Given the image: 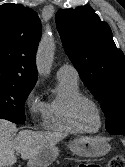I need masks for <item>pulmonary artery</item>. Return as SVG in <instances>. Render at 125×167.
I'll use <instances>...</instances> for the list:
<instances>
[{"label": "pulmonary artery", "mask_w": 125, "mask_h": 167, "mask_svg": "<svg viewBox=\"0 0 125 167\" xmlns=\"http://www.w3.org/2000/svg\"><path fill=\"white\" fill-rule=\"evenodd\" d=\"M78 77L79 75L77 70L70 64H63L57 71L58 79L78 80Z\"/></svg>", "instance_id": "obj_1"}]
</instances>
